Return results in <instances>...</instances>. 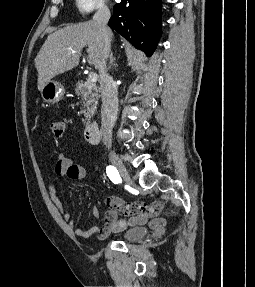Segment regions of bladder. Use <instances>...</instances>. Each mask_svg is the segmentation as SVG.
I'll use <instances>...</instances> for the list:
<instances>
[{
	"label": "bladder",
	"mask_w": 255,
	"mask_h": 287,
	"mask_svg": "<svg viewBox=\"0 0 255 287\" xmlns=\"http://www.w3.org/2000/svg\"><path fill=\"white\" fill-rule=\"evenodd\" d=\"M147 234V229L143 226H130L119 234V239L123 241H136Z\"/></svg>",
	"instance_id": "1"
}]
</instances>
